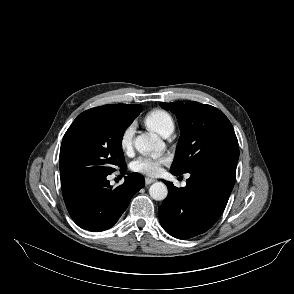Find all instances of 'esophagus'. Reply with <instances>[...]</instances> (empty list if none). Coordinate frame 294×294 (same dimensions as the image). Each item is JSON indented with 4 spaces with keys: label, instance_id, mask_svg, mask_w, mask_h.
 <instances>
[{
    "label": "esophagus",
    "instance_id": "obj_1",
    "mask_svg": "<svg viewBox=\"0 0 294 294\" xmlns=\"http://www.w3.org/2000/svg\"><path fill=\"white\" fill-rule=\"evenodd\" d=\"M156 180L155 179H153V178H149V177H146L145 178V183H146V185H149V184H151V183H153V182H155Z\"/></svg>",
    "mask_w": 294,
    "mask_h": 294
}]
</instances>
